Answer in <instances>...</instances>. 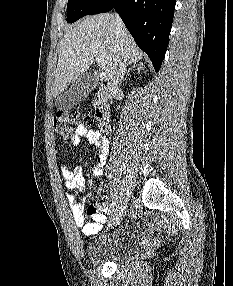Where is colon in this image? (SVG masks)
Here are the masks:
<instances>
[{
    "mask_svg": "<svg viewBox=\"0 0 233 286\" xmlns=\"http://www.w3.org/2000/svg\"><path fill=\"white\" fill-rule=\"evenodd\" d=\"M82 122L91 123V119L79 111H59L53 118L56 133L65 140L73 137V132Z\"/></svg>",
    "mask_w": 233,
    "mask_h": 286,
    "instance_id": "1",
    "label": "colon"
}]
</instances>
